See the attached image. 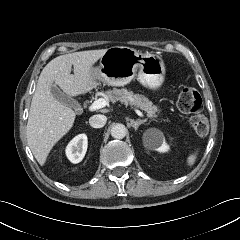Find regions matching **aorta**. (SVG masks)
<instances>
[{"label":"aorta","mask_w":240,"mask_h":240,"mask_svg":"<svg viewBox=\"0 0 240 240\" xmlns=\"http://www.w3.org/2000/svg\"><path fill=\"white\" fill-rule=\"evenodd\" d=\"M127 129L125 125L116 123L111 128V136L115 139H123L126 136Z\"/></svg>","instance_id":"obj_1"}]
</instances>
